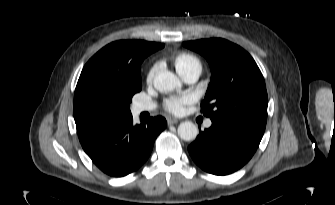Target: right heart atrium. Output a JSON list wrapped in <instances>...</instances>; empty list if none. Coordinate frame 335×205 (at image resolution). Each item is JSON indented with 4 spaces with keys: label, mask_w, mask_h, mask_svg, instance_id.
<instances>
[{
    "label": "right heart atrium",
    "mask_w": 335,
    "mask_h": 205,
    "mask_svg": "<svg viewBox=\"0 0 335 205\" xmlns=\"http://www.w3.org/2000/svg\"><path fill=\"white\" fill-rule=\"evenodd\" d=\"M156 71H157V65H154L152 68H150L146 77L148 83H151L153 81Z\"/></svg>",
    "instance_id": "right-heart-atrium-1"
}]
</instances>
